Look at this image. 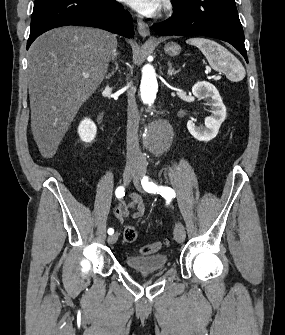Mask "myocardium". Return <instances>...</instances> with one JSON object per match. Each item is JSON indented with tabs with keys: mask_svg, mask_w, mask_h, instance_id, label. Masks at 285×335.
<instances>
[{
	"mask_svg": "<svg viewBox=\"0 0 285 335\" xmlns=\"http://www.w3.org/2000/svg\"><path fill=\"white\" fill-rule=\"evenodd\" d=\"M163 5H168L170 1H160Z\"/></svg>",
	"mask_w": 285,
	"mask_h": 335,
	"instance_id": "1",
	"label": "myocardium"
}]
</instances>
